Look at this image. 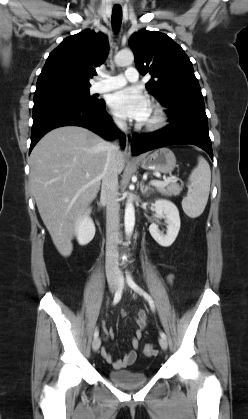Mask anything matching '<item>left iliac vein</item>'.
<instances>
[{
  "label": "left iliac vein",
  "instance_id": "4c4485c4",
  "mask_svg": "<svg viewBox=\"0 0 248 419\" xmlns=\"http://www.w3.org/2000/svg\"><path fill=\"white\" fill-rule=\"evenodd\" d=\"M159 344L163 350H166L168 347V342L166 338H163V337L159 338Z\"/></svg>",
  "mask_w": 248,
  "mask_h": 419
}]
</instances>
